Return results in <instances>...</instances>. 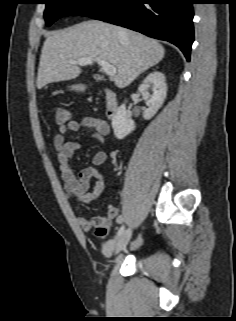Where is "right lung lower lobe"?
<instances>
[{
	"instance_id": "obj_1",
	"label": "right lung lower lobe",
	"mask_w": 236,
	"mask_h": 321,
	"mask_svg": "<svg viewBox=\"0 0 236 321\" xmlns=\"http://www.w3.org/2000/svg\"><path fill=\"white\" fill-rule=\"evenodd\" d=\"M194 0H111L89 17L166 40L190 60Z\"/></svg>"
}]
</instances>
